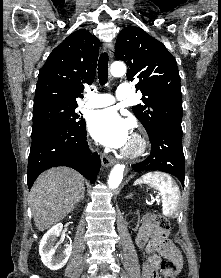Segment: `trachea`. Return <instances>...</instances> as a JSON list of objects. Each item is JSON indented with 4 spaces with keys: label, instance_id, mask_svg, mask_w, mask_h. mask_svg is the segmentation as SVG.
Listing matches in <instances>:
<instances>
[{
    "label": "trachea",
    "instance_id": "1",
    "mask_svg": "<svg viewBox=\"0 0 221 278\" xmlns=\"http://www.w3.org/2000/svg\"><path fill=\"white\" fill-rule=\"evenodd\" d=\"M98 78L100 85L108 82V54L102 53L98 62Z\"/></svg>",
    "mask_w": 221,
    "mask_h": 278
}]
</instances>
